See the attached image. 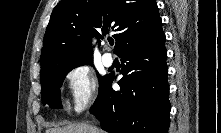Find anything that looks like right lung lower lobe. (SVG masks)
Returning <instances> with one entry per match:
<instances>
[{"instance_id":"1","label":"right lung lower lobe","mask_w":221,"mask_h":133,"mask_svg":"<svg viewBox=\"0 0 221 133\" xmlns=\"http://www.w3.org/2000/svg\"><path fill=\"white\" fill-rule=\"evenodd\" d=\"M118 55L123 63L120 90L111 88L114 76H106L91 112L110 133H167L170 103L165 34L131 44Z\"/></svg>"}]
</instances>
